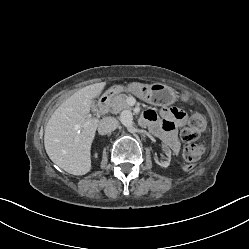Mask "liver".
Wrapping results in <instances>:
<instances>
[{
	"instance_id": "6515ba94",
	"label": "liver",
	"mask_w": 249,
	"mask_h": 249,
	"mask_svg": "<svg viewBox=\"0 0 249 249\" xmlns=\"http://www.w3.org/2000/svg\"><path fill=\"white\" fill-rule=\"evenodd\" d=\"M105 86L101 82L78 90L55 110L46 125V153L70 174L85 175L91 170V145L100 122L87 115Z\"/></svg>"
}]
</instances>
